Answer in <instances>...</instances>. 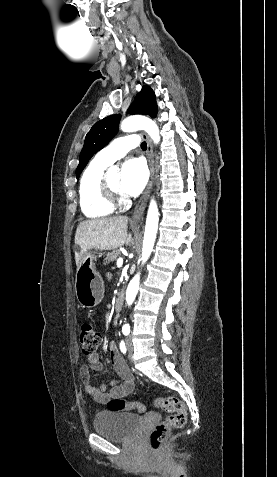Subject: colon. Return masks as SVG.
Masks as SVG:
<instances>
[{
	"mask_svg": "<svg viewBox=\"0 0 277 477\" xmlns=\"http://www.w3.org/2000/svg\"><path fill=\"white\" fill-rule=\"evenodd\" d=\"M80 342L85 355H93L101 342V333L88 322L80 328ZM111 411L136 410L143 412L145 406L138 402L127 401L122 398H114L108 402ZM155 406L164 410L168 416L164 421L157 424L149 437L150 447L154 451L162 449L169 433L174 428H181L186 423V410L183 403L175 396L157 398Z\"/></svg>",
	"mask_w": 277,
	"mask_h": 477,
	"instance_id": "colon-1",
	"label": "colon"
}]
</instances>
